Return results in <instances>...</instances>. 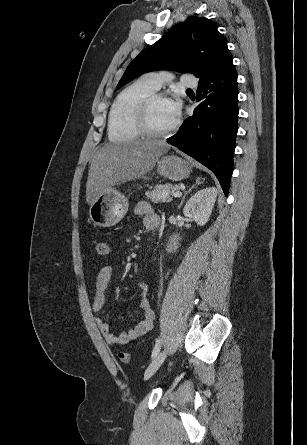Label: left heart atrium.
Wrapping results in <instances>:
<instances>
[{
	"label": "left heart atrium",
	"instance_id": "39dd6f15",
	"mask_svg": "<svg viewBox=\"0 0 307 445\" xmlns=\"http://www.w3.org/2000/svg\"><path fill=\"white\" fill-rule=\"evenodd\" d=\"M167 110L169 115L176 120L181 111V103L177 98H168L165 99Z\"/></svg>",
	"mask_w": 307,
	"mask_h": 445
}]
</instances>
